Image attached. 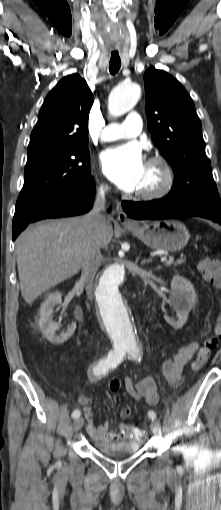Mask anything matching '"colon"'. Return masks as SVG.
Masks as SVG:
<instances>
[{
    "instance_id": "1",
    "label": "colon",
    "mask_w": 221,
    "mask_h": 510,
    "mask_svg": "<svg viewBox=\"0 0 221 510\" xmlns=\"http://www.w3.org/2000/svg\"><path fill=\"white\" fill-rule=\"evenodd\" d=\"M199 266L205 278L215 287L221 289V269L218 267L217 263L208 257H203L199 262ZM216 331L217 335L205 340L202 346L198 349L196 357L192 363V369L194 371L200 370L208 361L216 346L217 338L221 337V325L217 327ZM120 386V381L117 378H113L109 382V389L114 393L119 391ZM129 414V408L125 407L121 410V416L127 417ZM130 433L134 438H139L141 435V431L137 428L131 429Z\"/></svg>"
}]
</instances>
